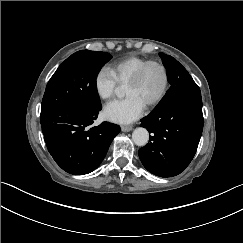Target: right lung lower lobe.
Here are the masks:
<instances>
[{
    "label": "right lung lower lobe",
    "instance_id": "obj_1",
    "mask_svg": "<svg viewBox=\"0 0 243 243\" xmlns=\"http://www.w3.org/2000/svg\"><path fill=\"white\" fill-rule=\"evenodd\" d=\"M99 107L66 104L41 114L40 123L49 153L66 172L84 175L95 170L104 159L120 127L97 119Z\"/></svg>",
    "mask_w": 243,
    "mask_h": 243
}]
</instances>
